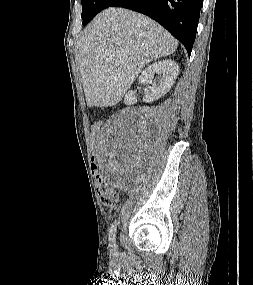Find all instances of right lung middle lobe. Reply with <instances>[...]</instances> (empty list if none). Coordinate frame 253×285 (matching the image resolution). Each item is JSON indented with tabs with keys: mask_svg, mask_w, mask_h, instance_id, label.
<instances>
[{
	"mask_svg": "<svg viewBox=\"0 0 253 285\" xmlns=\"http://www.w3.org/2000/svg\"><path fill=\"white\" fill-rule=\"evenodd\" d=\"M115 1L116 0H81L83 25H86L96 14L110 7Z\"/></svg>",
	"mask_w": 253,
	"mask_h": 285,
	"instance_id": "dd1d6c3e",
	"label": "right lung middle lobe"
}]
</instances>
